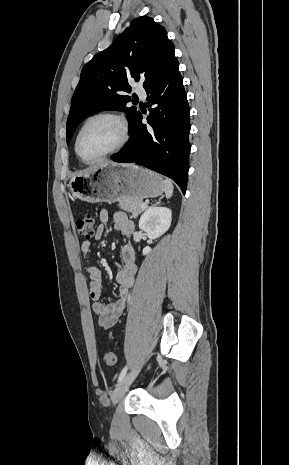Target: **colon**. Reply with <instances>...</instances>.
<instances>
[{"label": "colon", "instance_id": "5ec220e1", "mask_svg": "<svg viewBox=\"0 0 289 465\" xmlns=\"http://www.w3.org/2000/svg\"><path fill=\"white\" fill-rule=\"evenodd\" d=\"M76 230L79 235L90 239L95 234V220L94 217L87 213L76 220ZM105 363L108 366H113L116 363V356L113 352H108L105 355Z\"/></svg>", "mask_w": 289, "mask_h": 465}]
</instances>
